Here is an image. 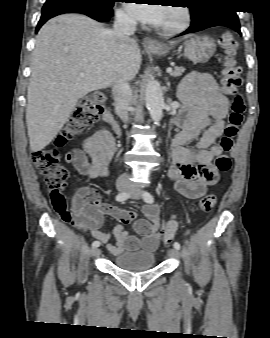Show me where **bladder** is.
Instances as JSON below:
<instances>
[{"label":"bladder","mask_w":270,"mask_h":338,"mask_svg":"<svg viewBox=\"0 0 270 338\" xmlns=\"http://www.w3.org/2000/svg\"><path fill=\"white\" fill-rule=\"evenodd\" d=\"M113 264L122 270L140 272L154 268L156 257L149 252H122L115 257Z\"/></svg>","instance_id":"31cf9c89"}]
</instances>
